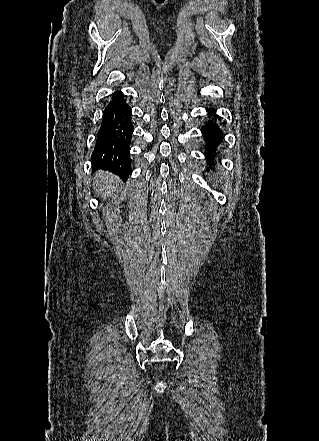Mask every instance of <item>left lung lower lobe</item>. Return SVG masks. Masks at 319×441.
I'll use <instances>...</instances> for the list:
<instances>
[{
  "label": "left lung lower lobe",
  "instance_id": "1",
  "mask_svg": "<svg viewBox=\"0 0 319 441\" xmlns=\"http://www.w3.org/2000/svg\"><path fill=\"white\" fill-rule=\"evenodd\" d=\"M209 113H214L212 110L206 109ZM204 141L206 143L205 157H209L216 151L219 144L223 141V132L219 128L216 118L209 117V121L201 128ZM212 164V162H211Z\"/></svg>",
  "mask_w": 319,
  "mask_h": 441
}]
</instances>
